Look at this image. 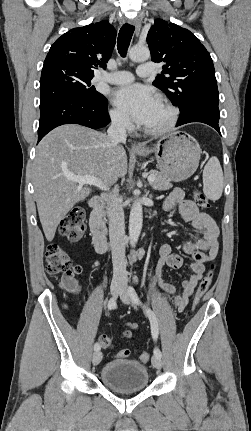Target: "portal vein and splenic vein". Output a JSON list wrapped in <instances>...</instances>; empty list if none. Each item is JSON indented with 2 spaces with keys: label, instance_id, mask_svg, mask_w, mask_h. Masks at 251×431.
Masks as SVG:
<instances>
[{
  "label": "portal vein and splenic vein",
  "instance_id": "1",
  "mask_svg": "<svg viewBox=\"0 0 251 431\" xmlns=\"http://www.w3.org/2000/svg\"><path fill=\"white\" fill-rule=\"evenodd\" d=\"M68 179L73 181V182H77L79 184H89V185H93L96 186L98 188H100L101 190L104 191H108L109 188L104 185L102 183V181L98 180L96 177L93 176H68ZM148 182H153L155 180V176L154 175H150L147 178Z\"/></svg>",
  "mask_w": 251,
  "mask_h": 431
}]
</instances>
